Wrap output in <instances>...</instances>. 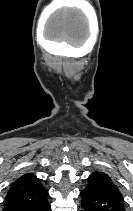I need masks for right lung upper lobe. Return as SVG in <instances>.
<instances>
[{
    "label": "right lung upper lobe",
    "instance_id": "1",
    "mask_svg": "<svg viewBox=\"0 0 133 211\" xmlns=\"http://www.w3.org/2000/svg\"><path fill=\"white\" fill-rule=\"evenodd\" d=\"M47 195L40 179L32 173L24 174L11 184L3 211H21L41 202Z\"/></svg>",
    "mask_w": 133,
    "mask_h": 211
}]
</instances>
